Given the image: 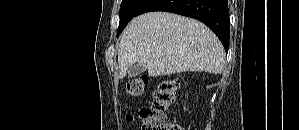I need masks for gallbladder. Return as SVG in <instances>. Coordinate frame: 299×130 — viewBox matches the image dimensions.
<instances>
[{
  "label": "gallbladder",
  "instance_id": "1",
  "mask_svg": "<svg viewBox=\"0 0 299 130\" xmlns=\"http://www.w3.org/2000/svg\"><path fill=\"white\" fill-rule=\"evenodd\" d=\"M146 71V67L139 64V63H135L132 66H130V68L128 69V76L129 77H136L142 73H144Z\"/></svg>",
  "mask_w": 299,
  "mask_h": 130
}]
</instances>
